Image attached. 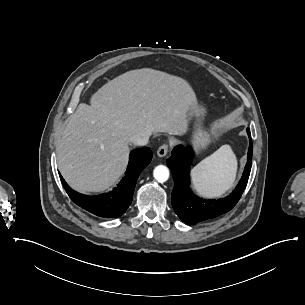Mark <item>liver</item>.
Returning <instances> with one entry per match:
<instances>
[{
    "mask_svg": "<svg viewBox=\"0 0 305 305\" xmlns=\"http://www.w3.org/2000/svg\"><path fill=\"white\" fill-rule=\"evenodd\" d=\"M80 103L58 144V168L77 191H103L124 173L130 137L188 131L196 107L180 78L150 69L128 72Z\"/></svg>",
    "mask_w": 305,
    "mask_h": 305,
    "instance_id": "6515ba94",
    "label": "liver"
}]
</instances>
